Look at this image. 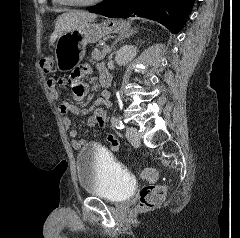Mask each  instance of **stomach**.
Segmentation results:
<instances>
[{
  "label": "stomach",
  "instance_id": "obj_1",
  "mask_svg": "<svg viewBox=\"0 0 240 238\" xmlns=\"http://www.w3.org/2000/svg\"><path fill=\"white\" fill-rule=\"evenodd\" d=\"M130 23L120 19H106L100 24L88 22L76 30L59 35L55 45L56 67L67 72L76 67L83 59L88 43H96L113 33H125Z\"/></svg>",
  "mask_w": 240,
  "mask_h": 238
}]
</instances>
